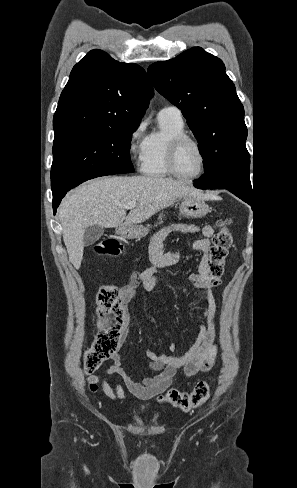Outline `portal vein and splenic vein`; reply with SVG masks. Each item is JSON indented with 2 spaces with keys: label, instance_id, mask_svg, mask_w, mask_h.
Masks as SVG:
<instances>
[{
  "label": "portal vein and splenic vein",
  "instance_id": "18ae733b",
  "mask_svg": "<svg viewBox=\"0 0 297 488\" xmlns=\"http://www.w3.org/2000/svg\"><path fill=\"white\" fill-rule=\"evenodd\" d=\"M135 206H136V202H130V203L124 205V208H126V209H132Z\"/></svg>",
  "mask_w": 297,
  "mask_h": 488
}]
</instances>
